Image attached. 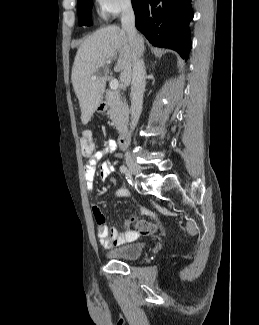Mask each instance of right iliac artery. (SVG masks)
<instances>
[{
	"label": "right iliac artery",
	"instance_id": "obj_1",
	"mask_svg": "<svg viewBox=\"0 0 259 325\" xmlns=\"http://www.w3.org/2000/svg\"><path fill=\"white\" fill-rule=\"evenodd\" d=\"M125 170H128L127 167H126L125 165H122V166L120 167V171H121L122 173H124Z\"/></svg>",
	"mask_w": 259,
	"mask_h": 325
}]
</instances>
